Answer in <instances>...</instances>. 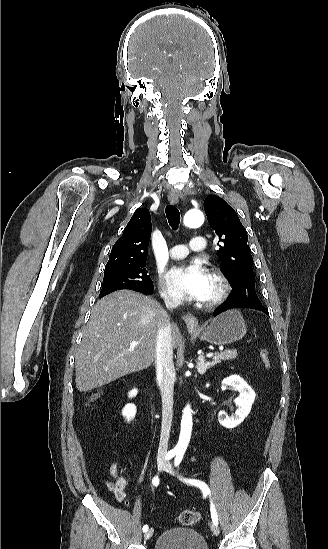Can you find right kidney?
I'll return each instance as SVG.
<instances>
[{
	"instance_id": "obj_1",
	"label": "right kidney",
	"mask_w": 328,
	"mask_h": 549,
	"mask_svg": "<svg viewBox=\"0 0 328 549\" xmlns=\"http://www.w3.org/2000/svg\"><path fill=\"white\" fill-rule=\"evenodd\" d=\"M138 391L137 389H133V391H130V393H128L130 399H132V397H136ZM122 415H124V417H126V419H128V421H130V419H134L135 415H136V407L135 405H132V403H129V405H126V407H124L123 411H122Z\"/></svg>"
}]
</instances>
